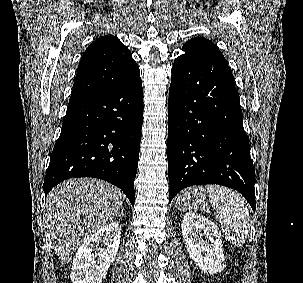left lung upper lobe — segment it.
Segmentation results:
<instances>
[{"label":"left lung upper lobe","instance_id":"left-lung-upper-lobe-1","mask_svg":"<svg viewBox=\"0 0 303 283\" xmlns=\"http://www.w3.org/2000/svg\"><path fill=\"white\" fill-rule=\"evenodd\" d=\"M183 55L200 56L205 54H222L216 45L203 37H196L184 44Z\"/></svg>","mask_w":303,"mask_h":283}]
</instances>
